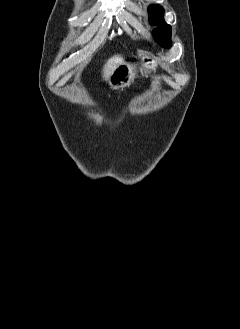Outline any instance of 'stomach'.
Instances as JSON below:
<instances>
[{"mask_svg":"<svg viewBox=\"0 0 240 329\" xmlns=\"http://www.w3.org/2000/svg\"><path fill=\"white\" fill-rule=\"evenodd\" d=\"M141 72L149 73L156 71L158 64L153 58L142 57L141 58ZM136 75V65L123 62L119 64L112 72L108 79L110 88L112 89H123L133 82Z\"/></svg>","mask_w":240,"mask_h":329,"instance_id":"0dacf381","label":"stomach"}]
</instances>
